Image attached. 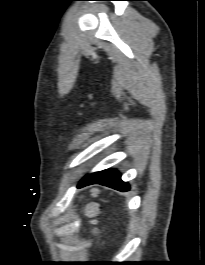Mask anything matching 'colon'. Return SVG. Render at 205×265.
I'll return each instance as SVG.
<instances>
[{
  "instance_id": "colon-1",
  "label": "colon",
  "mask_w": 205,
  "mask_h": 265,
  "mask_svg": "<svg viewBox=\"0 0 205 265\" xmlns=\"http://www.w3.org/2000/svg\"><path fill=\"white\" fill-rule=\"evenodd\" d=\"M85 214L88 217L93 218L97 214L96 206L94 204L87 205L86 208H85Z\"/></svg>"
}]
</instances>
